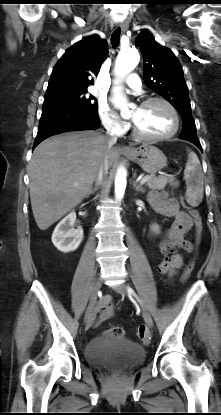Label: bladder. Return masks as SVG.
Instances as JSON below:
<instances>
[{
	"label": "bladder",
	"mask_w": 221,
	"mask_h": 415,
	"mask_svg": "<svg viewBox=\"0 0 221 415\" xmlns=\"http://www.w3.org/2000/svg\"><path fill=\"white\" fill-rule=\"evenodd\" d=\"M145 357V349L138 343L107 335L92 339L85 349L88 363L102 369L131 368L141 364Z\"/></svg>",
	"instance_id": "bladder-1"
}]
</instances>
